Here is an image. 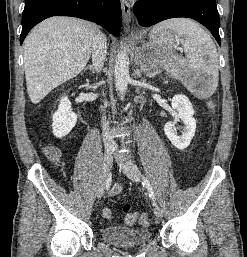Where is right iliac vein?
Instances as JSON below:
<instances>
[{"mask_svg": "<svg viewBox=\"0 0 247 257\" xmlns=\"http://www.w3.org/2000/svg\"><path fill=\"white\" fill-rule=\"evenodd\" d=\"M112 160H113L112 152L110 150H107L104 154L103 167H102L99 186L97 189V198L98 199H100L104 194L106 181L109 176V172H110L111 165H112Z\"/></svg>", "mask_w": 247, "mask_h": 257, "instance_id": "right-iliac-vein-1", "label": "right iliac vein"}]
</instances>
